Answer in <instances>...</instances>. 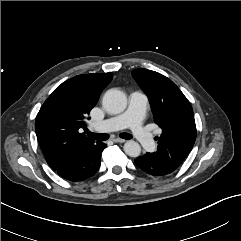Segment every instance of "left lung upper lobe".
<instances>
[{
  "instance_id": "left-lung-upper-lobe-1",
  "label": "left lung upper lobe",
  "mask_w": 241,
  "mask_h": 241,
  "mask_svg": "<svg viewBox=\"0 0 241 241\" xmlns=\"http://www.w3.org/2000/svg\"><path fill=\"white\" fill-rule=\"evenodd\" d=\"M133 77L147 94L154 121L162 129L156 152L151 159L179 167L193 148L196 125L190 102L181 90L164 75L147 70L132 71Z\"/></svg>"
}]
</instances>
